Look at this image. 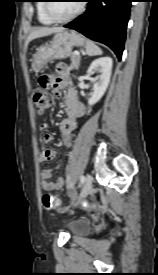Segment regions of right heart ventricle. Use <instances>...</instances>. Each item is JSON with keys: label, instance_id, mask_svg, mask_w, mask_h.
Returning a JSON list of instances; mask_svg holds the SVG:
<instances>
[{"label": "right heart ventricle", "instance_id": "1", "mask_svg": "<svg viewBox=\"0 0 158 275\" xmlns=\"http://www.w3.org/2000/svg\"><path fill=\"white\" fill-rule=\"evenodd\" d=\"M45 0H39V2L37 3V17L40 23L44 24V25H50L53 23V21L51 19H49V17L46 15L45 10H44V6H45Z\"/></svg>", "mask_w": 158, "mask_h": 275}]
</instances>
